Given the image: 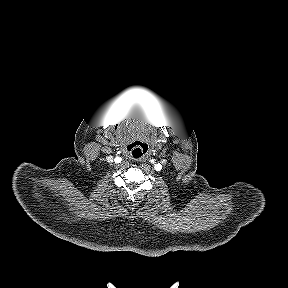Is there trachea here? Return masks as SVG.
<instances>
[{"label": "trachea", "instance_id": "3493384b", "mask_svg": "<svg viewBox=\"0 0 288 288\" xmlns=\"http://www.w3.org/2000/svg\"><path fill=\"white\" fill-rule=\"evenodd\" d=\"M127 149L134 159H139L148 151V145L141 141H132L127 145Z\"/></svg>", "mask_w": 288, "mask_h": 288}]
</instances>
